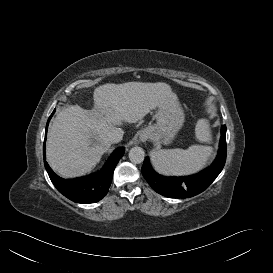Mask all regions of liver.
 I'll use <instances>...</instances> for the list:
<instances>
[{
	"instance_id": "liver-1",
	"label": "liver",
	"mask_w": 273,
	"mask_h": 273,
	"mask_svg": "<svg viewBox=\"0 0 273 273\" xmlns=\"http://www.w3.org/2000/svg\"><path fill=\"white\" fill-rule=\"evenodd\" d=\"M176 98L163 82L104 84L94 91V108L78 105L62 109L47 138L46 155L51 168L63 177L89 172L111 146L108 136L123 121L135 123L168 97Z\"/></svg>"
}]
</instances>
